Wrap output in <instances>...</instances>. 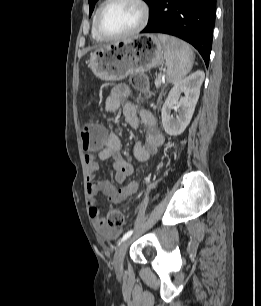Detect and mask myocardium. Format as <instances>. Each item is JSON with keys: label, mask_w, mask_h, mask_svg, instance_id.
I'll return each mask as SVG.
<instances>
[{"label": "myocardium", "mask_w": 261, "mask_h": 306, "mask_svg": "<svg viewBox=\"0 0 261 306\" xmlns=\"http://www.w3.org/2000/svg\"><path fill=\"white\" fill-rule=\"evenodd\" d=\"M117 1L119 0H106L100 6L95 16V20H94L95 33L102 40L115 41V40H121V39L132 37L138 34L140 31H142L148 23L150 11H149V7L146 1L145 0H130L131 2L137 4L141 9L142 17H141L139 24L132 31L125 33V34L111 35V34L106 33L101 27L102 15L111 4Z\"/></svg>", "instance_id": "myocardium-1"}]
</instances>
